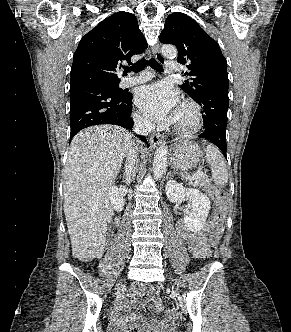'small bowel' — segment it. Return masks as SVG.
<instances>
[{"mask_svg": "<svg viewBox=\"0 0 291 332\" xmlns=\"http://www.w3.org/2000/svg\"><path fill=\"white\" fill-rule=\"evenodd\" d=\"M221 228L217 227L212 221L206 223L203 232H190L184 226L180 227L181 237L187 241L189 251L194 258L200 259L206 256L208 249L207 236L205 233H209L211 236L218 237ZM132 302L137 304H144L146 302H151L152 307L155 311L161 312L163 310V305L159 302L153 294L152 289H136L132 293ZM116 322L118 325H123L129 320L141 319V316L130 315L128 317H120L119 313H115ZM146 330L151 332H168L172 327V321L170 317L165 320H151L144 324Z\"/></svg>", "mask_w": 291, "mask_h": 332, "instance_id": "c3829d8e", "label": "small bowel"}]
</instances>
